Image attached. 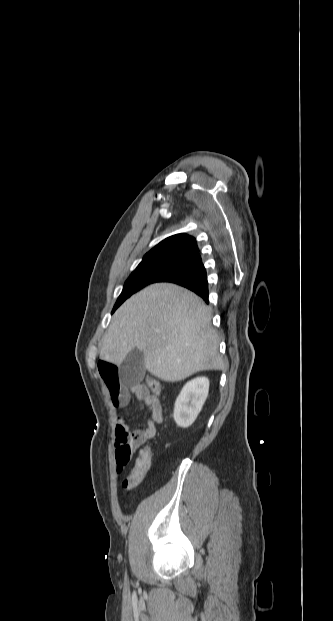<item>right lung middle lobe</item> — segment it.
Masks as SVG:
<instances>
[{
    "label": "right lung middle lobe",
    "instance_id": "right-lung-middle-lobe-1",
    "mask_svg": "<svg viewBox=\"0 0 333 621\" xmlns=\"http://www.w3.org/2000/svg\"><path fill=\"white\" fill-rule=\"evenodd\" d=\"M184 262L185 260L180 258L141 262L126 281L112 313L132 294L149 284L160 281L161 278L178 269Z\"/></svg>",
    "mask_w": 333,
    "mask_h": 621
}]
</instances>
